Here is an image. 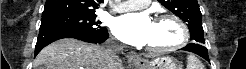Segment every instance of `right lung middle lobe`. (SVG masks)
<instances>
[{
  "label": "right lung middle lobe",
  "mask_w": 246,
  "mask_h": 69,
  "mask_svg": "<svg viewBox=\"0 0 246 69\" xmlns=\"http://www.w3.org/2000/svg\"><path fill=\"white\" fill-rule=\"evenodd\" d=\"M93 14H58L42 17L40 30L44 29H78L82 31H98L101 23L95 21Z\"/></svg>",
  "instance_id": "1"
}]
</instances>
